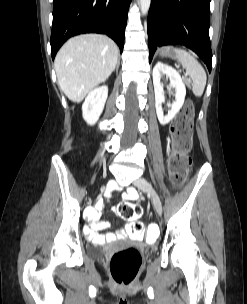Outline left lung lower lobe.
<instances>
[{"mask_svg": "<svg viewBox=\"0 0 247 304\" xmlns=\"http://www.w3.org/2000/svg\"><path fill=\"white\" fill-rule=\"evenodd\" d=\"M211 0H152L148 13L149 61L157 46L182 44L212 68Z\"/></svg>", "mask_w": 247, "mask_h": 304, "instance_id": "0a47b994", "label": "left lung lower lobe"}]
</instances>
